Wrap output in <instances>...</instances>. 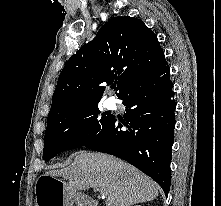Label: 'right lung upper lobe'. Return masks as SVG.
Returning <instances> with one entry per match:
<instances>
[{"instance_id":"right-lung-upper-lobe-1","label":"right lung upper lobe","mask_w":221,"mask_h":206,"mask_svg":"<svg viewBox=\"0 0 221 206\" xmlns=\"http://www.w3.org/2000/svg\"><path fill=\"white\" fill-rule=\"evenodd\" d=\"M165 62L157 36L144 22L128 16L113 18L67 61L49 115L64 108L98 103L105 91L104 83L117 84L120 98Z\"/></svg>"}]
</instances>
